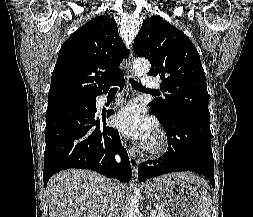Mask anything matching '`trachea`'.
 <instances>
[{
  "label": "trachea",
  "mask_w": 253,
  "mask_h": 217,
  "mask_svg": "<svg viewBox=\"0 0 253 217\" xmlns=\"http://www.w3.org/2000/svg\"><path fill=\"white\" fill-rule=\"evenodd\" d=\"M130 84L135 89H139V90H142V91L150 92V93H153V94H158V92L152 91V90H149V89L143 87L141 84H139L137 81H135L133 79H130ZM117 89H118L117 87L111 88V90H117Z\"/></svg>",
  "instance_id": "1"
}]
</instances>
